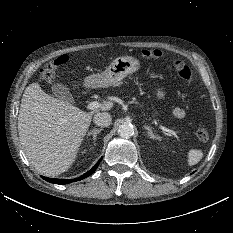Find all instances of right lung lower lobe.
I'll return each instance as SVG.
<instances>
[{
  "instance_id": "98d812e1",
  "label": "right lung lower lobe",
  "mask_w": 233,
  "mask_h": 233,
  "mask_svg": "<svg viewBox=\"0 0 233 233\" xmlns=\"http://www.w3.org/2000/svg\"><path fill=\"white\" fill-rule=\"evenodd\" d=\"M100 161H101V159L95 164V166L92 169H90L84 175H82L79 178L74 179V180H69V179H65V180H63V179H53V178H47V177H43V176H42V178L44 180L48 181V182L55 183V184H62V185L63 184L71 183L73 181H79V180H82V179L88 177L89 175H91L96 170V168L99 165Z\"/></svg>"
}]
</instances>
